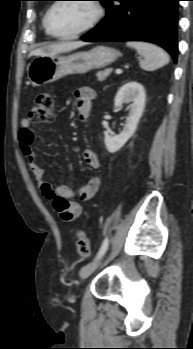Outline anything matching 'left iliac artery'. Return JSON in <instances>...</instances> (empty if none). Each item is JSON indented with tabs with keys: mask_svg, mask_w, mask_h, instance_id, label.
<instances>
[{
	"mask_svg": "<svg viewBox=\"0 0 193 349\" xmlns=\"http://www.w3.org/2000/svg\"><path fill=\"white\" fill-rule=\"evenodd\" d=\"M108 243H109V240L108 238H105V240L103 241L98 253H97V256H96V259L101 257L107 250L108 248Z\"/></svg>",
	"mask_w": 193,
	"mask_h": 349,
	"instance_id": "obj_1",
	"label": "left iliac artery"
}]
</instances>
